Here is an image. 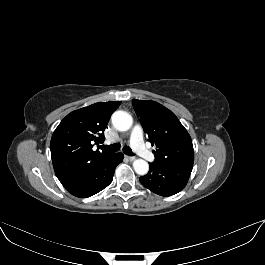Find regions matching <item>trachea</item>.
Listing matches in <instances>:
<instances>
[{"mask_svg": "<svg viewBox=\"0 0 265 265\" xmlns=\"http://www.w3.org/2000/svg\"><path fill=\"white\" fill-rule=\"evenodd\" d=\"M99 148L102 149L103 151H106L109 153H114L120 149V145L119 144H112L109 146L108 145H101V146H99ZM123 152L128 156L134 155V153L132 152V150L128 146L123 147Z\"/></svg>", "mask_w": 265, "mask_h": 265, "instance_id": "obj_1", "label": "trachea"}]
</instances>
